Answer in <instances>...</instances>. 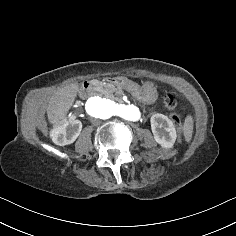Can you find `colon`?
Returning a JSON list of instances; mask_svg holds the SVG:
<instances>
[{
	"instance_id": "obj_1",
	"label": "colon",
	"mask_w": 236,
	"mask_h": 236,
	"mask_svg": "<svg viewBox=\"0 0 236 236\" xmlns=\"http://www.w3.org/2000/svg\"><path fill=\"white\" fill-rule=\"evenodd\" d=\"M164 103L169 110H174L177 106V96L174 90H167L164 93ZM172 121L174 122L177 129H181V117L177 113L171 115Z\"/></svg>"
}]
</instances>
